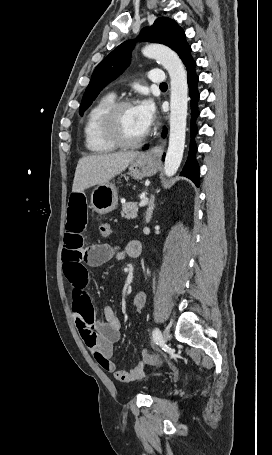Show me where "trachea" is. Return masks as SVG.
I'll return each instance as SVG.
<instances>
[{"instance_id":"1","label":"trachea","mask_w":272,"mask_h":455,"mask_svg":"<svg viewBox=\"0 0 272 455\" xmlns=\"http://www.w3.org/2000/svg\"><path fill=\"white\" fill-rule=\"evenodd\" d=\"M160 87L161 88H165V87H167V84L166 83H162V84H160Z\"/></svg>"}]
</instances>
